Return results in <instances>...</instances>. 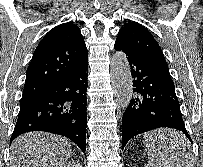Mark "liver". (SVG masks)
<instances>
[{"label":"liver","mask_w":203,"mask_h":167,"mask_svg":"<svg viewBox=\"0 0 203 167\" xmlns=\"http://www.w3.org/2000/svg\"><path fill=\"white\" fill-rule=\"evenodd\" d=\"M176 133L170 129H160L145 136L160 146ZM71 153V145L65 138L46 132H31L12 142L9 167H64Z\"/></svg>","instance_id":"liver-1"}]
</instances>
